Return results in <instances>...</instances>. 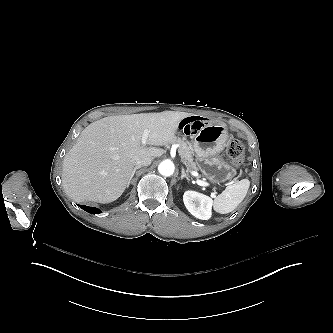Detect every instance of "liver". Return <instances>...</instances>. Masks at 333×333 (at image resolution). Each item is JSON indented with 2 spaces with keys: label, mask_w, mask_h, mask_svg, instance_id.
Masks as SVG:
<instances>
[{
  "label": "liver",
  "mask_w": 333,
  "mask_h": 333,
  "mask_svg": "<svg viewBox=\"0 0 333 333\" xmlns=\"http://www.w3.org/2000/svg\"><path fill=\"white\" fill-rule=\"evenodd\" d=\"M191 113L164 111L106 117L91 123L63 161L65 193L77 203H111L126 189L133 168L141 158H157ZM144 131H149L146 144Z\"/></svg>",
  "instance_id": "liver-1"
}]
</instances>
